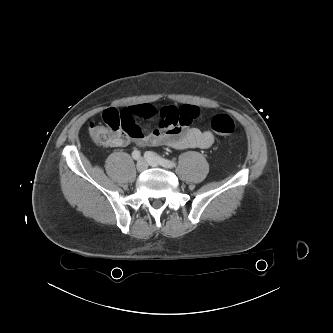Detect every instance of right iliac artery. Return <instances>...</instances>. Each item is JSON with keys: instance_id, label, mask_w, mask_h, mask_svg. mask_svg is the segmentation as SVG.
Masks as SVG:
<instances>
[{"instance_id": "82829eb1", "label": "right iliac artery", "mask_w": 333, "mask_h": 333, "mask_svg": "<svg viewBox=\"0 0 333 333\" xmlns=\"http://www.w3.org/2000/svg\"><path fill=\"white\" fill-rule=\"evenodd\" d=\"M132 157L135 159V160H138L140 158V152L138 150H134L132 152Z\"/></svg>"}]
</instances>
